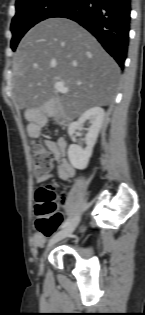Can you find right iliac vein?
Segmentation results:
<instances>
[{
  "label": "right iliac vein",
  "instance_id": "right-iliac-vein-1",
  "mask_svg": "<svg viewBox=\"0 0 145 315\" xmlns=\"http://www.w3.org/2000/svg\"><path fill=\"white\" fill-rule=\"evenodd\" d=\"M80 221V216L75 217L64 229L54 234L48 244V248L54 245L55 243L59 242L60 240L68 237L72 234V232L77 227L78 223ZM41 270L43 268V259H41L40 263Z\"/></svg>",
  "mask_w": 145,
  "mask_h": 315
}]
</instances>
